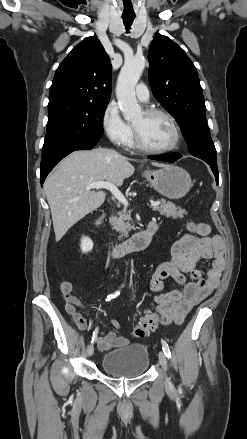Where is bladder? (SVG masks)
I'll return each mask as SVG.
<instances>
[{
  "label": "bladder",
  "mask_w": 247,
  "mask_h": 439,
  "mask_svg": "<svg viewBox=\"0 0 247 439\" xmlns=\"http://www.w3.org/2000/svg\"><path fill=\"white\" fill-rule=\"evenodd\" d=\"M103 371L119 378H135L143 375L149 367V352L145 345L128 344L107 352L101 361Z\"/></svg>",
  "instance_id": "31cf9c89"
}]
</instances>
